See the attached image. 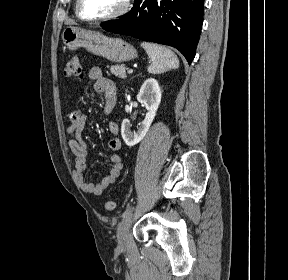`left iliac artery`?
<instances>
[{"label": "left iliac artery", "mask_w": 288, "mask_h": 280, "mask_svg": "<svg viewBox=\"0 0 288 280\" xmlns=\"http://www.w3.org/2000/svg\"><path fill=\"white\" fill-rule=\"evenodd\" d=\"M132 197L133 198H130L129 201L127 202V205L125 206L124 208V214L123 216L125 217V214H128L130 213V208L132 207V204L136 202V197H137V194L136 193H133L132 194Z\"/></svg>", "instance_id": "44dca946"}]
</instances>
